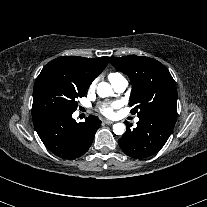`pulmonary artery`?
Masks as SVG:
<instances>
[{"label": "pulmonary artery", "mask_w": 207, "mask_h": 207, "mask_svg": "<svg viewBox=\"0 0 207 207\" xmlns=\"http://www.w3.org/2000/svg\"><path fill=\"white\" fill-rule=\"evenodd\" d=\"M111 84H112V87H113L115 93H117V94H122L128 86L127 80L124 77H122L121 75L115 77L111 81ZM138 120H139L138 118L135 119L136 122Z\"/></svg>", "instance_id": "obj_1"}]
</instances>
